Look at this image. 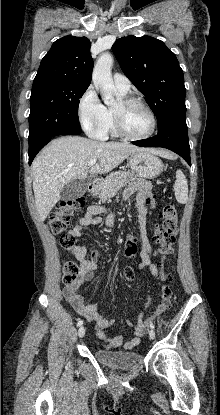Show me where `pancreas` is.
<instances>
[{
	"instance_id": "pancreas-1",
	"label": "pancreas",
	"mask_w": 220,
	"mask_h": 415,
	"mask_svg": "<svg viewBox=\"0 0 220 415\" xmlns=\"http://www.w3.org/2000/svg\"><path fill=\"white\" fill-rule=\"evenodd\" d=\"M132 178L133 175L126 171L112 172L99 183V198L102 201L112 198Z\"/></svg>"
}]
</instances>
